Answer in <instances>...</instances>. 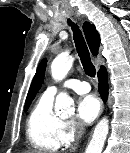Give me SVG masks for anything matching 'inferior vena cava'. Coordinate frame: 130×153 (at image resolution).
<instances>
[{
  "instance_id": "obj_1",
  "label": "inferior vena cava",
  "mask_w": 130,
  "mask_h": 153,
  "mask_svg": "<svg viewBox=\"0 0 130 153\" xmlns=\"http://www.w3.org/2000/svg\"><path fill=\"white\" fill-rule=\"evenodd\" d=\"M83 133H84V126L82 124H79L77 126L76 135H75L76 143L70 147L69 149L70 152H74L76 150L77 141L82 137Z\"/></svg>"
}]
</instances>
